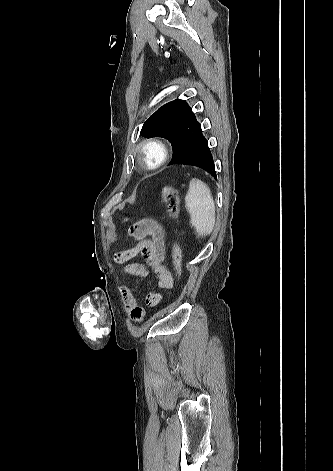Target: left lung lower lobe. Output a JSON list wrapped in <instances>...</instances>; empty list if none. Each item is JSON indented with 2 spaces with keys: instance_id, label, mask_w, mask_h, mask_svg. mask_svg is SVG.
I'll return each instance as SVG.
<instances>
[{
  "instance_id": "0a47b994",
  "label": "left lung lower lobe",
  "mask_w": 333,
  "mask_h": 471,
  "mask_svg": "<svg viewBox=\"0 0 333 471\" xmlns=\"http://www.w3.org/2000/svg\"><path fill=\"white\" fill-rule=\"evenodd\" d=\"M185 164L200 167L217 179L212 154L208 142L202 134L201 126L191 141L172 157L169 165Z\"/></svg>"
}]
</instances>
